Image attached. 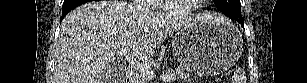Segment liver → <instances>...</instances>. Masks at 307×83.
Segmentation results:
<instances>
[{"mask_svg":"<svg viewBox=\"0 0 307 83\" xmlns=\"http://www.w3.org/2000/svg\"><path fill=\"white\" fill-rule=\"evenodd\" d=\"M220 20L208 12L181 17L157 14L118 0L83 4L62 20L53 83H104L103 73L110 72L122 49L128 47L135 59L146 60L173 32Z\"/></svg>","mask_w":307,"mask_h":83,"instance_id":"obj_1","label":"liver"}]
</instances>
